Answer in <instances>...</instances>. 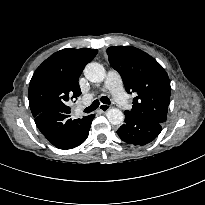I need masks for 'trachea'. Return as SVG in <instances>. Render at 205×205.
Masks as SVG:
<instances>
[{
    "instance_id": "obj_1",
    "label": "trachea",
    "mask_w": 205,
    "mask_h": 205,
    "mask_svg": "<svg viewBox=\"0 0 205 205\" xmlns=\"http://www.w3.org/2000/svg\"><path fill=\"white\" fill-rule=\"evenodd\" d=\"M100 101L103 103V104H110V100L108 97L106 96H102L100 98ZM99 106V101L98 100H95L89 107H87L84 112L86 113H90L92 111H94L97 107Z\"/></svg>"
}]
</instances>
